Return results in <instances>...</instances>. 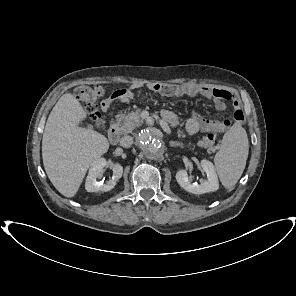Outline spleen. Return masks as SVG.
Wrapping results in <instances>:
<instances>
[{
    "mask_svg": "<svg viewBox=\"0 0 296 296\" xmlns=\"http://www.w3.org/2000/svg\"><path fill=\"white\" fill-rule=\"evenodd\" d=\"M249 143L245 129L234 124L224 134L214 158L215 169L225 188L233 187L240 179L248 158Z\"/></svg>",
    "mask_w": 296,
    "mask_h": 296,
    "instance_id": "spleen-1",
    "label": "spleen"
}]
</instances>
